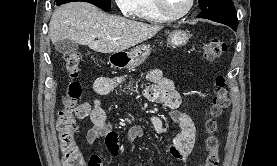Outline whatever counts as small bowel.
<instances>
[{
    "label": "small bowel",
    "instance_id": "c3829d8e",
    "mask_svg": "<svg viewBox=\"0 0 277 166\" xmlns=\"http://www.w3.org/2000/svg\"><path fill=\"white\" fill-rule=\"evenodd\" d=\"M146 78L151 85L144 89V97L151 102L160 103L168 108L171 118L178 128L168 147V152L173 158L186 162L196 140L195 124L187 113L179 110L181 95L171 79L164 77L160 69H151L148 71ZM124 81L125 77L123 76L98 77L93 83V93L96 96L93 104L83 103L76 110V115L79 119L90 117L93 124L86 133V142L89 145H93L99 138H104L106 148L113 156L119 154V138L107 121L106 113L101 106L100 97L112 93ZM151 123L157 133L164 134L165 128L161 117L153 116ZM143 135L144 130L141 126L135 125L131 127L126 136L129 148L132 149L134 140ZM90 161L91 166H103L101 157L98 154H93L90 157Z\"/></svg>",
    "mask_w": 277,
    "mask_h": 166
}]
</instances>
